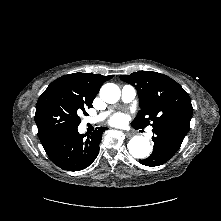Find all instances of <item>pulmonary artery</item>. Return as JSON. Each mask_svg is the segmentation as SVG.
Here are the masks:
<instances>
[{
	"label": "pulmonary artery",
	"instance_id": "obj_1",
	"mask_svg": "<svg viewBox=\"0 0 221 221\" xmlns=\"http://www.w3.org/2000/svg\"><path fill=\"white\" fill-rule=\"evenodd\" d=\"M135 96H136V90L133 86H131V85L123 86V88L121 90V99H122L123 102L129 103L135 98ZM106 115H107V113H103L100 116L89 118V121L92 122V123L93 122H99Z\"/></svg>",
	"mask_w": 221,
	"mask_h": 221
}]
</instances>
